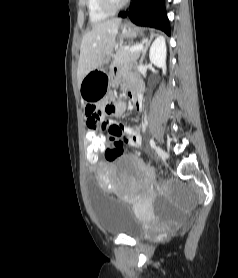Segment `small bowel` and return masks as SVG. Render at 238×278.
Segmentation results:
<instances>
[{"label":"small bowel","mask_w":238,"mask_h":278,"mask_svg":"<svg viewBox=\"0 0 238 278\" xmlns=\"http://www.w3.org/2000/svg\"><path fill=\"white\" fill-rule=\"evenodd\" d=\"M119 81H126L129 84L135 85V79L125 73H117L115 75V82ZM131 97L136 107V99L139 98L142 107V99L138 88H134L132 90ZM125 110L126 104L124 102L112 104L107 103L104 105L98 103H89L85 108L87 117V130H95L96 133H98V137H105L106 144H115L117 142H121L122 144L126 143L132 147L141 146V130L137 125L122 126L105 122V117L109 115L108 113H112L111 115L120 116L125 112ZM136 162L139 169L144 167V164L140 160H137Z\"/></svg>","instance_id":"obj_1"}]
</instances>
